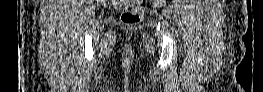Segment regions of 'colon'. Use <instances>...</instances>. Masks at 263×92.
I'll use <instances>...</instances> for the list:
<instances>
[{
  "instance_id": "1",
  "label": "colon",
  "mask_w": 263,
  "mask_h": 92,
  "mask_svg": "<svg viewBox=\"0 0 263 92\" xmlns=\"http://www.w3.org/2000/svg\"><path fill=\"white\" fill-rule=\"evenodd\" d=\"M133 6L121 15V20L126 25L138 24L143 17L142 1H130Z\"/></svg>"
}]
</instances>
